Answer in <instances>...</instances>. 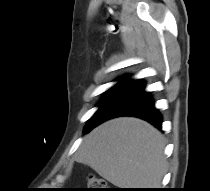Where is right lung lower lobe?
I'll return each mask as SVG.
<instances>
[{
  "instance_id": "obj_1",
  "label": "right lung lower lobe",
  "mask_w": 210,
  "mask_h": 191,
  "mask_svg": "<svg viewBox=\"0 0 210 191\" xmlns=\"http://www.w3.org/2000/svg\"><path fill=\"white\" fill-rule=\"evenodd\" d=\"M128 77L121 78L113 88L110 96L97 113L94 127L115 117L133 116L161 128L162 116L154 107L150 93L145 91L144 82L128 79Z\"/></svg>"
}]
</instances>
